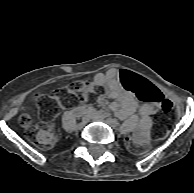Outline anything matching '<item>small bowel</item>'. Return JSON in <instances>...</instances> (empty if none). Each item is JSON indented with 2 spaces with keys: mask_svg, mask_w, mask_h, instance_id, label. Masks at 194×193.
<instances>
[{
  "mask_svg": "<svg viewBox=\"0 0 194 193\" xmlns=\"http://www.w3.org/2000/svg\"><path fill=\"white\" fill-rule=\"evenodd\" d=\"M93 82L95 86L102 87L105 90V95L113 100L111 109L115 115L120 119H128L132 124L136 125L135 138L141 142H147L151 128L150 116L154 112L153 103L147 102L140 106L139 113L141 119L137 121V118L133 115L138 106L137 96L133 91L123 86L119 79V71L117 69H110L105 73L96 74ZM149 83L157 93H160L157 87L151 82ZM100 100H103V97ZM85 107L87 106H82L81 108Z\"/></svg>",
  "mask_w": 194,
  "mask_h": 193,
  "instance_id": "c3829d8e",
  "label": "small bowel"
}]
</instances>
